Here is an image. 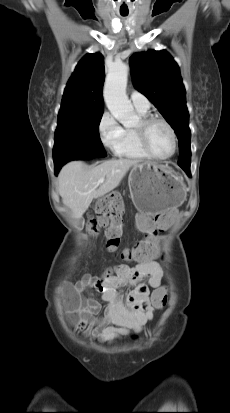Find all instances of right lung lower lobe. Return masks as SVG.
Returning <instances> with one entry per match:
<instances>
[{
	"instance_id": "obj_1",
	"label": "right lung lower lobe",
	"mask_w": 230,
	"mask_h": 413,
	"mask_svg": "<svg viewBox=\"0 0 230 413\" xmlns=\"http://www.w3.org/2000/svg\"><path fill=\"white\" fill-rule=\"evenodd\" d=\"M61 165H55V174L57 175L58 171L60 170Z\"/></svg>"
}]
</instances>
